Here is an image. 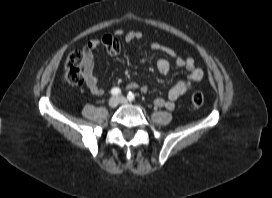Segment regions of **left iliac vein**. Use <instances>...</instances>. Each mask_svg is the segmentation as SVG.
<instances>
[{"label":"left iliac vein","mask_w":272,"mask_h":198,"mask_svg":"<svg viewBox=\"0 0 272 198\" xmlns=\"http://www.w3.org/2000/svg\"><path fill=\"white\" fill-rule=\"evenodd\" d=\"M117 98L119 100V103H121V104H127L128 103V100L123 96H119Z\"/></svg>","instance_id":"obj_1"}]
</instances>
